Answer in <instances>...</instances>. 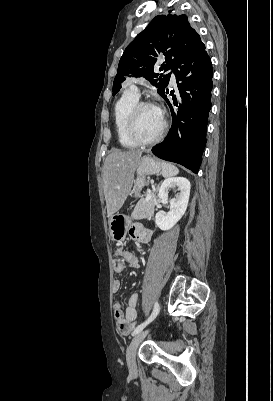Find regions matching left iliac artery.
Returning a JSON list of instances; mask_svg holds the SVG:
<instances>
[{
	"mask_svg": "<svg viewBox=\"0 0 273 401\" xmlns=\"http://www.w3.org/2000/svg\"><path fill=\"white\" fill-rule=\"evenodd\" d=\"M159 310H160L159 304H158V302H155L154 303V309H153V312L150 315V317L145 322H143L140 325H138L135 328V330L132 333V335L134 336V335L138 334L139 332H141L146 327L147 324H149L152 320H154V318L158 315Z\"/></svg>",
	"mask_w": 273,
	"mask_h": 401,
	"instance_id": "left-iliac-artery-1",
	"label": "left iliac artery"
}]
</instances>
